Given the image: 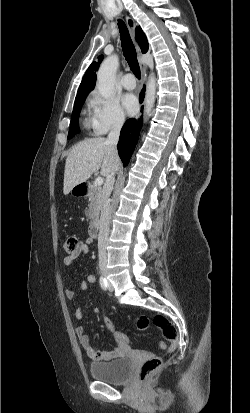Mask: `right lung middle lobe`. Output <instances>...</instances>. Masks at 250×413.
Returning <instances> with one entry per match:
<instances>
[{"instance_id": "obj_1", "label": "right lung middle lobe", "mask_w": 250, "mask_h": 413, "mask_svg": "<svg viewBox=\"0 0 250 413\" xmlns=\"http://www.w3.org/2000/svg\"><path fill=\"white\" fill-rule=\"evenodd\" d=\"M87 95L78 96L75 99L74 109L72 112L71 122H70V129L68 133V139H71L75 134H77L80 130L78 128V118L80 115V108L85 102Z\"/></svg>"}]
</instances>
